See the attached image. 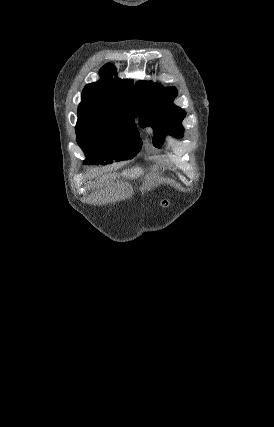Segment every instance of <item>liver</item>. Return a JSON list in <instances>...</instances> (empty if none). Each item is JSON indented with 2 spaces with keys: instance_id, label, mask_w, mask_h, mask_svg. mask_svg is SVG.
<instances>
[{
  "instance_id": "1",
  "label": "liver",
  "mask_w": 274,
  "mask_h": 427,
  "mask_svg": "<svg viewBox=\"0 0 274 427\" xmlns=\"http://www.w3.org/2000/svg\"><path fill=\"white\" fill-rule=\"evenodd\" d=\"M143 170L141 168H131V170H124L120 176H125V178H140L142 176ZM106 178H109V176H106Z\"/></svg>"
}]
</instances>
